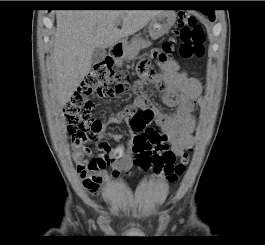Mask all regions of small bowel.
I'll list each match as a JSON object with an SVG mask.
<instances>
[{
    "label": "small bowel",
    "mask_w": 265,
    "mask_h": 245,
    "mask_svg": "<svg viewBox=\"0 0 265 245\" xmlns=\"http://www.w3.org/2000/svg\"><path fill=\"white\" fill-rule=\"evenodd\" d=\"M155 55L156 53H152L142 61L150 62ZM153 84L161 92L164 105L173 109L171 113L160 112L146 97L138 96L133 107L110 116L108 121L100 127L99 134L105 135L109 124L127 123L135 111L142 110L166 132L171 151L176 156H181L185 151L190 150L195 142L196 122L193 112L201 101V82L181 70L175 60L169 59L161 65L160 73ZM107 136L117 143L123 141V136L119 133H107ZM132 146V142L127 141L126 151L101 150L99 154H94L88 145H82L76 141L74 159L85 190L97 194L101 184L109 178L128 173L132 165L130 152Z\"/></svg>",
    "instance_id": "1"
}]
</instances>
